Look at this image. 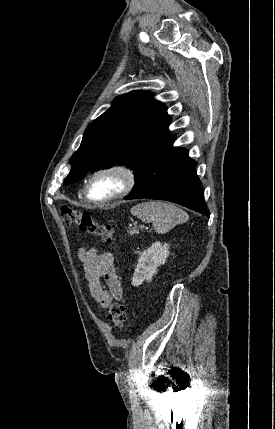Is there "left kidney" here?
I'll list each match as a JSON object with an SVG mask.
<instances>
[{
    "mask_svg": "<svg viewBox=\"0 0 275 429\" xmlns=\"http://www.w3.org/2000/svg\"><path fill=\"white\" fill-rule=\"evenodd\" d=\"M168 249L169 245L167 243L155 242L140 255L132 278L133 286L138 287L145 280L148 282L152 280V277L158 271L157 268L165 264L169 256Z\"/></svg>",
    "mask_w": 275,
    "mask_h": 429,
    "instance_id": "obj_1",
    "label": "left kidney"
}]
</instances>
